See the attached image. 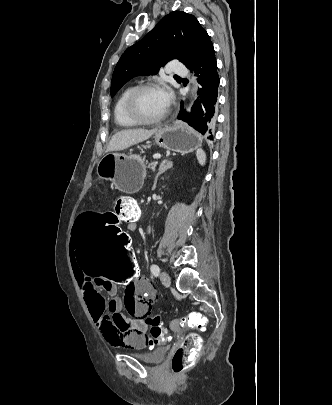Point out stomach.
<instances>
[{"label": "stomach", "instance_id": "obj_1", "mask_svg": "<svg viewBox=\"0 0 332 405\" xmlns=\"http://www.w3.org/2000/svg\"><path fill=\"white\" fill-rule=\"evenodd\" d=\"M154 138L159 147L182 154L192 152L202 144V137L197 132L180 123L161 127ZM97 174L111 181L116 189L135 193L142 186L145 164L138 155L109 153L98 163Z\"/></svg>", "mask_w": 332, "mask_h": 405}]
</instances>
